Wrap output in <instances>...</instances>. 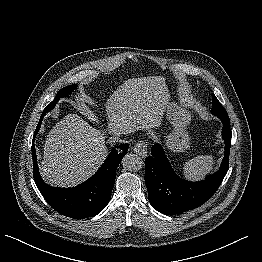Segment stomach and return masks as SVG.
I'll list each match as a JSON object with an SVG mask.
<instances>
[{"label": "stomach", "instance_id": "0dacf381", "mask_svg": "<svg viewBox=\"0 0 262 262\" xmlns=\"http://www.w3.org/2000/svg\"><path fill=\"white\" fill-rule=\"evenodd\" d=\"M166 118L174 127L172 133L167 136L166 145L175 153L184 152L189 148L190 138L186 127L191 121V112L174 101H168L165 108Z\"/></svg>", "mask_w": 262, "mask_h": 262}]
</instances>
